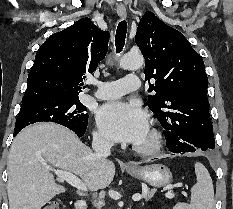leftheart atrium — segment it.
Wrapping results in <instances>:
<instances>
[{
  "instance_id": "1",
  "label": "left heart atrium",
  "mask_w": 233,
  "mask_h": 209,
  "mask_svg": "<svg viewBox=\"0 0 233 209\" xmlns=\"http://www.w3.org/2000/svg\"><path fill=\"white\" fill-rule=\"evenodd\" d=\"M100 130L116 142L137 143L148 130L145 111L137 102L111 101L97 112Z\"/></svg>"
}]
</instances>
